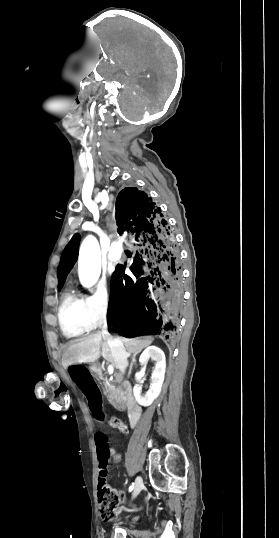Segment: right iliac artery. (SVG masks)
Wrapping results in <instances>:
<instances>
[{"label":"right iliac artery","mask_w":279,"mask_h":538,"mask_svg":"<svg viewBox=\"0 0 279 538\" xmlns=\"http://www.w3.org/2000/svg\"><path fill=\"white\" fill-rule=\"evenodd\" d=\"M133 488H134V483H132V484L130 485V487H129V491L131 492V491L133 490Z\"/></svg>","instance_id":"obj_1"}]
</instances>
